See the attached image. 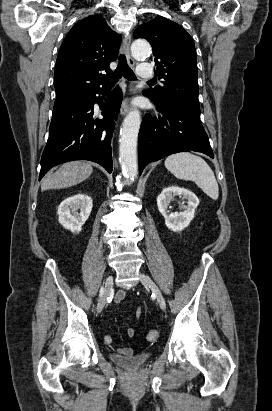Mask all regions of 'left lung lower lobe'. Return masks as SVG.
Returning a JSON list of instances; mask_svg holds the SVG:
<instances>
[{
    "label": "left lung lower lobe",
    "instance_id": "left-lung-lower-lobe-1",
    "mask_svg": "<svg viewBox=\"0 0 272 411\" xmlns=\"http://www.w3.org/2000/svg\"><path fill=\"white\" fill-rule=\"evenodd\" d=\"M152 101L163 117L147 114L142 121L138 136L140 175L148 163L178 152L197 151L214 157L200 113Z\"/></svg>",
    "mask_w": 272,
    "mask_h": 411
}]
</instances>
